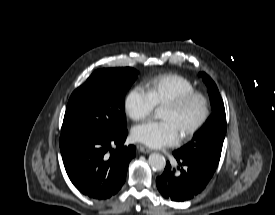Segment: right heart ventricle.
Masks as SVG:
<instances>
[{
	"mask_svg": "<svg viewBox=\"0 0 275 215\" xmlns=\"http://www.w3.org/2000/svg\"><path fill=\"white\" fill-rule=\"evenodd\" d=\"M194 90L195 87L190 80L175 73L158 75L146 83V91L156 106H163L180 95Z\"/></svg>",
	"mask_w": 275,
	"mask_h": 215,
	"instance_id": "e07e8e85",
	"label": "right heart ventricle"
}]
</instances>
